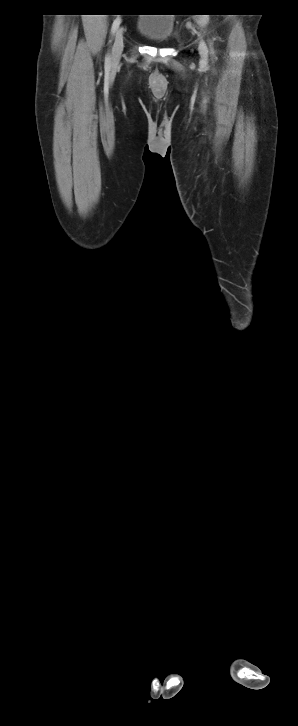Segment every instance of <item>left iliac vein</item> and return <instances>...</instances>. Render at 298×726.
I'll use <instances>...</instances> for the list:
<instances>
[{"label": "left iliac vein", "mask_w": 298, "mask_h": 726, "mask_svg": "<svg viewBox=\"0 0 298 726\" xmlns=\"http://www.w3.org/2000/svg\"><path fill=\"white\" fill-rule=\"evenodd\" d=\"M199 53L202 58V61L206 62L207 58H208V50H207V46H206L205 42H203V41H201L199 44Z\"/></svg>", "instance_id": "1"}]
</instances>
